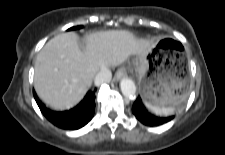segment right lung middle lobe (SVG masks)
Segmentation results:
<instances>
[{
	"label": "right lung middle lobe",
	"instance_id": "obj_1",
	"mask_svg": "<svg viewBox=\"0 0 225 155\" xmlns=\"http://www.w3.org/2000/svg\"><path fill=\"white\" fill-rule=\"evenodd\" d=\"M79 28H81V26L72 27V28H70V30L79 29Z\"/></svg>",
	"mask_w": 225,
	"mask_h": 155
}]
</instances>
